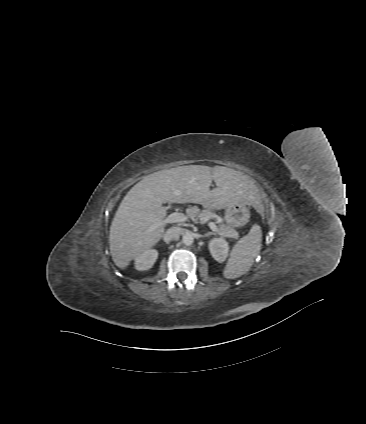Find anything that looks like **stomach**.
Instances as JSON below:
<instances>
[{"instance_id": "0dacf381", "label": "stomach", "mask_w": 366, "mask_h": 424, "mask_svg": "<svg viewBox=\"0 0 366 424\" xmlns=\"http://www.w3.org/2000/svg\"><path fill=\"white\" fill-rule=\"evenodd\" d=\"M249 217V209L246 204H232L226 207L225 221L231 227L241 225V219Z\"/></svg>"}]
</instances>
